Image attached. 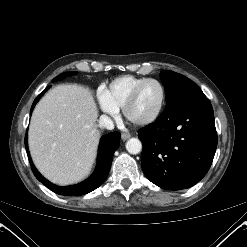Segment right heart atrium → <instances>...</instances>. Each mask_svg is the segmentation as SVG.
Here are the masks:
<instances>
[{
  "label": "right heart atrium",
  "instance_id": "d8ad5b80",
  "mask_svg": "<svg viewBox=\"0 0 247 247\" xmlns=\"http://www.w3.org/2000/svg\"><path fill=\"white\" fill-rule=\"evenodd\" d=\"M98 103L102 111H104L105 113H108L112 116L117 115L118 110L109 103L104 89H100L98 91Z\"/></svg>",
  "mask_w": 247,
  "mask_h": 247
}]
</instances>
